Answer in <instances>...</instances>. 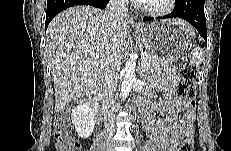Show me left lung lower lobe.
I'll use <instances>...</instances> for the list:
<instances>
[{"instance_id": "1", "label": "left lung lower lobe", "mask_w": 231, "mask_h": 151, "mask_svg": "<svg viewBox=\"0 0 231 151\" xmlns=\"http://www.w3.org/2000/svg\"><path fill=\"white\" fill-rule=\"evenodd\" d=\"M182 18L191 23L207 41L206 18L204 14V0H181L172 13L162 18ZM153 18L144 17L143 21Z\"/></svg>"}]
</instances>
